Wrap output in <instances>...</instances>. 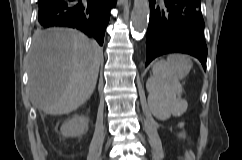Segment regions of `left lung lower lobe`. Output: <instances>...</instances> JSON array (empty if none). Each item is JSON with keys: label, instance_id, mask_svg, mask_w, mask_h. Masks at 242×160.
<instances>
[{"label": "left lung lower lobe", "instance_id": "1", "mask_svg": "<svg viewBox=\"0 0 242 160\" xmlns=\"http://www.w3.org/2000/svg\"><path fill=\"white\" fill-rule=\"evenodd\" d=\"M150 20L146 36L147 66L167 53H186L200 60L206 69L207 46L201 0H163L156 6L149 0Z\"/></svg>", "mask_w": 242, "mask_h": 160}]
</instances>
